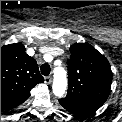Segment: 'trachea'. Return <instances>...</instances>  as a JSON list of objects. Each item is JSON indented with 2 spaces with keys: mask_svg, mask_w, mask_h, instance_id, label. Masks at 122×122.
Here are the masks:
<instances>
[{
  "mask_svg": "<svg viewBox=\"0 0 122 122\" xmlns=\"http://www.w3.org/2000/svg\"><path fill=\"white\" fill-rule=\"evenodd\" d=\"M40 70L44 76H48L50 74L51 68L48 64H42Z\"/></svg>",
  "mask_w": 122,
  "mask_h": 122,
  "instance_id": "1",
  "label": "trachea"
}]
</instances>
